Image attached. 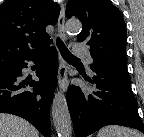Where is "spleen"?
I'll use <instances>...</instances> for the list:
<instances>
[{"label":"spleen","mask_w":144,"mask_h":137,"mask_svg":"<svg viewBox=\"0 0 144 137\" xmlns=\"http://www.w3.org/2000/svg\"><path fill=\"white\" fill-rule=\"evenodd\" d=\"M97 137H142V134L127 127L109 125L103 127L98 132Z\"/></svg>","instance_id":"obj_1"}]
</instances>
